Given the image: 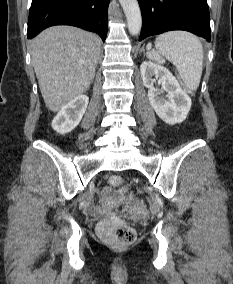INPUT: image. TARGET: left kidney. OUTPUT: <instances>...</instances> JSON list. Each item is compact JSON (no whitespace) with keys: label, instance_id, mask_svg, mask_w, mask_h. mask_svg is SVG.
<instances>
[{"label":"left kidney","instance_id":"1","mask_svg":"<svg viewBox=\"0 0 233 284\" xmlns=\"http://www.w3.org/2000/svg\"><path fill=\"white\" fill-rule=\"evenodd\" d=\"M143 84L148 88V98L156 114L167 124L174 125L183 122L191 108V99L181 88L177 79L162 65L144 61L140 66ZM159 78L162 90L167 93L161 96L154 87L155 79Z\"/></svg>","mask_w":233,"mask_h":284}]
</instances>
